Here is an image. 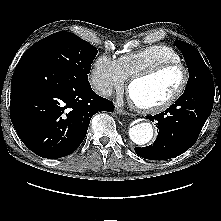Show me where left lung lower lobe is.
I'll list each match as a JSON object with an SVG mask.
<instances>
[{
	"instance_id": "0a47b994",
	"label": "left lung lower lobe",
	"mask_w": 221,
	"mask_h": 221,
	"mask_svg": "<svg viewBox=\"0 0 221 221\" xmlns=\"http://www.w3.org/2000/svg\"><path fill=\"white\" fill-rule=\"evenodd\" d=\"M214 94V82L206 83L184 92L165 112L147 116L157 122L158 136L152 145L136 147L135 152L150 160H166L184 153L196 142L210 116Z\"/></svg>"
}]
</instances>
